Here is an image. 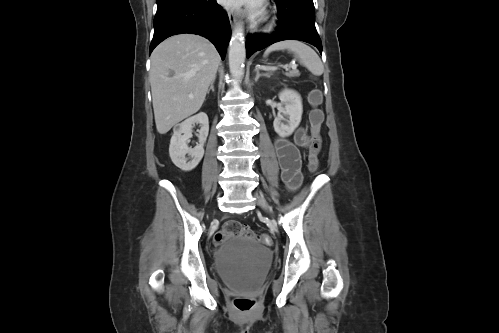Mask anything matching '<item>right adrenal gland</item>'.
I'll list each match as a JSON object with an SVG mask.
<instances>
[{
  "instance_id": "1",
  "label": "right adrenal gland",
  "mask_w": 499,
  "mask_h": 333,
  "mask_svg": "<svg viewBox=\"0 0 499 333\" xmlns=\"http://www.w3.org/2000/svg\"><path fill=\"white\" fill-rule=\"evenodd\" d=\"M215 79H216V76L214 77V79L212 80L211 84H210V87L207 91V93L209 94L210 90H212L214 92V82H215Z\"/></svg>"
}]
</instances>
